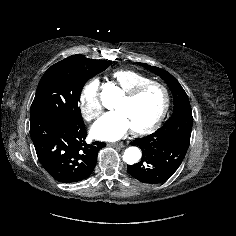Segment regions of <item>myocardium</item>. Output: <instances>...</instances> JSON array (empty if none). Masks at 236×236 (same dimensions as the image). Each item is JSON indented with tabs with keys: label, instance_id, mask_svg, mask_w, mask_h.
<instances>
[{
	"label": "myocardium",
	"instance_id": "f54148a6",
	"mask_svg": "<svg viewBox=\"0 0 236 236\" xmlns=\"http://www.w3.org/2000/svg\"><path fill=\"white\" fill-rule=\"evenodd\" d=\"M153 86L160 88L164 94V104H163L162 110L160 114L158 115V117L148 126H145L143 128H138V129L132 128V132L136 135L149 134L155 131L162 124L170 107V93H169L168 88L163 83L158 82V81H152V80L145 82L143 84H140L124 93L123 97L128 101H132L136 99L139 95H141L145 90Z\"/></svg>",
	"mask_w": 236,
	"mask_h": 236
}]
</instances>
